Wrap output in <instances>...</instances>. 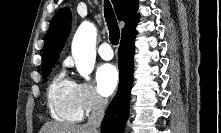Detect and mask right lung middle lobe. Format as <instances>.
<instances>
[{"label": "right lung middle lobe", "instance_id": "dd1d6c3e", "mask_svg": "<svg viewBox=\"0 0 221 133\" xmlns=\"http://www.w3.org/2000/svg\"><path fill=\"white\" fill-rule=\"evenodd\" d=\"M53 66H54V63H50L42 67L43 78H46L50 74Z\"/></svg>", "mask_w": 221, "mask_h": 133}]
</instances>
